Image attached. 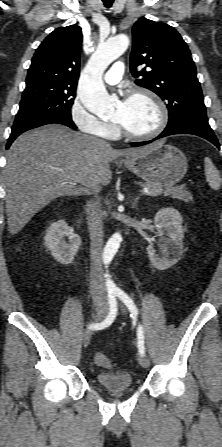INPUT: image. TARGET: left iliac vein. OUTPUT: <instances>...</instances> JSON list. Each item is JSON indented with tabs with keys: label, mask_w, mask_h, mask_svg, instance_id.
<instances>
[{
	"label": "left iliac vein",
	"mask_w": 222,
	"mask_h": 447,
	"mask_svg": "<svg viewBox=\"0 0 222 447\" xmlns=\"http://www.w3.org/2000/svg\"><path fill=\"white\" fill-rule=\"evenodd\" d=\"M120 306H121L122 311L125 312L124 307L122 305H120ZM138 362L144 368H148L150 365L149 358L145 354H139Z\"/></svg>",
	"instance_id": "4c4485c4"
}]
</instances>
